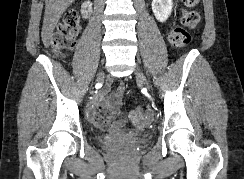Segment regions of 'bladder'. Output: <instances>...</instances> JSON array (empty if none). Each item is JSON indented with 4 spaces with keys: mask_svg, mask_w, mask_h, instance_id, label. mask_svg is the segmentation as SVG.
Listing matches in <instances>:
<instances>
[{
    "mask_svg": "<svg viewBox=\"0 0 244 179\" xmlns=\"http://www.w3.org/2000/svg\"><path fill=\"white\" fill-rule=\"evenodd\" d=\"M137 142L139 145H146L148 142V139L145 136H138ZM103 144H105V143L103 142Z\"/></svg>",
    "mask_w": 244,
    "mask_h": 179,
    "instance_id": "31cf9c89",
    "label": "bladder"
}]
</instances>
